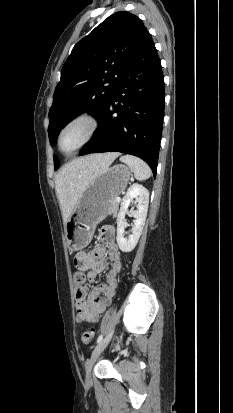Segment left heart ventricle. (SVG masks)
Here are the masks:
<instances>
[{"instance_id":"obj_1","label":"left heart ventricle","mask_w":233,"mask_h":413,"mask_svg":"<svg viewBox=\"0 0 233 413\" xmlns=\"http://www.w3.org/2000/svg\"><path fill=\"white\" fill-rule=\"evenodd\" d=\"M87 124L79 122L68 128L62 136L61 147L64 151H70L82 142L87 133Z\"/></svg>"}]
</instances>
